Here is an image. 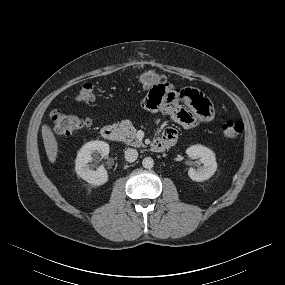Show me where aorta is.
I'll return each mask as SVG.
<instances>
[{
	"mask_svg": "<svg viewBox=\"0 0 285 285\" xmlns=\"http://www.w3.org/2000/svg\"><path fill=\"white\" fill-rule=\"evenodd\" d=\"M142 165L146 169H151L154 166V160L151 157H146L143 159Z\"/></svg>",
	"mask_w": 285,
	"mask_h": 285,
	"instance_id": "obj_1",
	"label": "aorta"
}]
</instances>
